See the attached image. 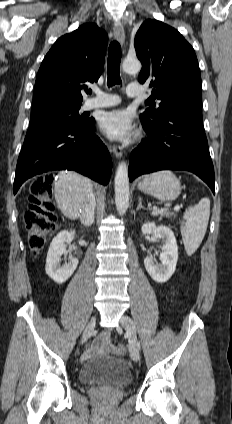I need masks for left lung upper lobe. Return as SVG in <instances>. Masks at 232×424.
Returning <instances> with one entry per match:
<instances>
[{
  "label": "left lung upper lobe",
  "mask_w": 232,
  "mask_h": 424,
  "mask_svg": "<svg viewBox=\"0 0 232 424\" xmlns=\"http://www.w3.org/2000/svg\"><path fill=\"white\" fill-rule=\"evenodd\" d=\"M142 69L139 82L151 81L158 109L148 108L140 117L158 124L164 114L178 108L202 109L201 75L193 47L174 28L146 20L135 36Z\"/></svg>",
  "instance_id": "5c2ea615"
}]
</instances>
